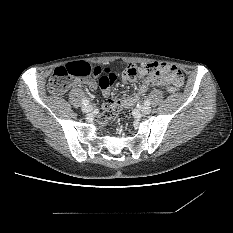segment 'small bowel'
<instances>
[{"mask_svg": "<svg viewBox=\"0 0 233 233\" xmlns=\"http://www.w3.org/2000/svg\"><path fill=\"white\" fill-rule=\"evenodd\" d=\"M149 65L152 66L154 72H159L161 74L162 72H164L162 71V68L166 65V63L154 62L150 63ZM164 73L166 74L159 76L154 74L148 77L142 83L138 94L107 99L103 103V107L105 109H114L122 106L133 105L139 100L140 96L144 92H146L150 87L155 85L166 87L169 90H173L175 87L181 85L183 77L180 70L174 67L172 70ZM116 77V73L113 70H109L98 81H95L94 79L84 78L76 80L75 83L77 85H84L90 89L99 87L105 96H109L111 93V87L115 82Z\"/></svg>", "mask_w": 233, "mask_h": 233, "instance_id": "1", "label": "small bowel"}]
</instances>
